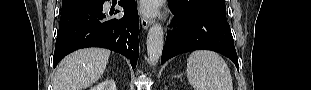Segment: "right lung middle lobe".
<instances>
[{"label":"right lung middle lobe","instance_id":"dd1d6c3e","mask_svg":"<svg viewBox=\"0 0 311 90\" xmlns=\"http://www.w3.org/2000/svg\"><path fill=\"white\" fill-rule=\"evenodd\" d=\"M93 1L95 0H63L61 13L66 12L79 5L86 4L89 2H93Z\"/></svg>","mask_w":311,"mask_h":90}]
</instances>
